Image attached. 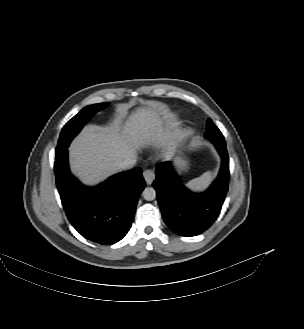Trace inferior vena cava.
<instances>
[{
    "instance_id": "602c4592",
    "label": "inferior vena cava",
    "mask_w": 304,
    "mask_h": 329,
    "mask_svg": "<svg viewBox=\"0 0 304 329\" xmlns=\"http://www.w3.org/2000/svg\"><path fill=\"white\" fill-rule=\"evenodd\" d=\"M136 164V158L135 157H127L119 162L118 167L124 170L131 169Z\"/></svg>"
}]
</instances>
